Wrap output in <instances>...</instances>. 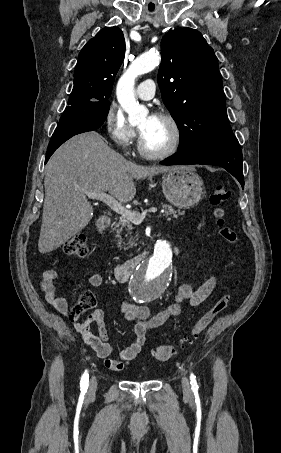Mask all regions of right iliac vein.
<instances>
[{
	"label": "right iliac vein",
	"mask_w": 281,
	"mask_h": 453,
	"mask_svg": "<svg viewBox=\"0 0 281 453\" xmlns=\"http://www.w3.org/2000/svg\"><path fill=\"white\" fill-rule=\"evenodd\" d=\"M97 382H98V379L96 377H93L91 379V382H90V387H89V392L90 393H95L96 392V388H97Z\"/></svg>",
	"instance_id": "obj_1"
}]
</instances>
